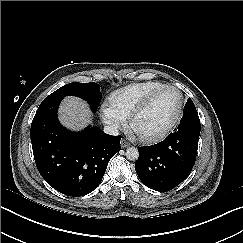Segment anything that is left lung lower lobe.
Listing matches in <instances>:
<instances>
[{
	"instance_id": "1",
	"label": "left lung lower lobe",
	"mask_w": 243,
	"mask_h": 243,
	"mask_svg": "<svg viewBox=\"0 0 243 243\" xmlns=\"http://www.w3.org/2000/svg\"><path fill=\"white\" fill-rule=\"evenodd\" d=\"M200 129L198 113L184 115L177 130L166 140L138 148L135 170L142 183L167 192L184 181L195 164Z\"/></svg>"
}]
</instances>
